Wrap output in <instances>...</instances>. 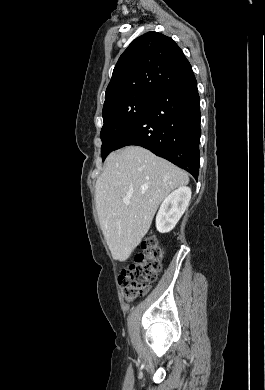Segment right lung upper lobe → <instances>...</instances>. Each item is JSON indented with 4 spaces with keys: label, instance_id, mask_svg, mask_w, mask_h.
<instances>
[{
    "label": "right lung upper lobe",
    "instance_id": "1",
    "mask_svg": "<svg viewBox=\"0 0 265 390\" xmlns=\"http://www.w3.org/2000/svg\"><path fill=\"white\" fill-rule=\"evenodd\" d=\"M190 69L189 61L172 38L158 32L145 33L133 40L118 59L104 107L136 94L157 96Z\"/></svg>",
    "mask_w": 265,
    "mask_h": 390
}]
</instances>
